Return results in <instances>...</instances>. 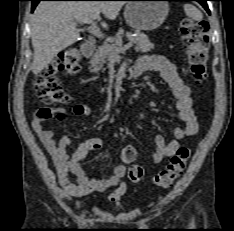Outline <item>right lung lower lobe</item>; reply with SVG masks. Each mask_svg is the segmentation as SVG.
Listing matches in <instances>:
<instances>
[{
    "label": "right lung lower lobe",
    "instance_id": "98d812e1",
    "mask_svg": "<svg viewBox=\"0 0 234 231\" xmlns=\"http://www.w3.org/2000/svg\"><path fill=\"white\" fill-rule=\"evenodd\" d=\"M32 1V11H34L36 5L40 2V1H78V0H30ZM82 1H107V0H82Z\"/></svg>",
    "mask_w": 234,
    "mask_h": 231
}]
</instances>
